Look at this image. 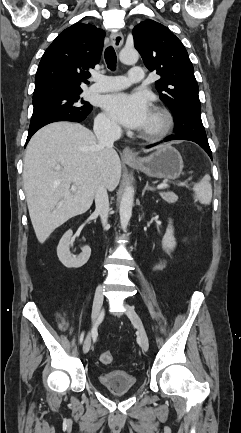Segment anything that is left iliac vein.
<instances>
[{
  "label": "left iliac vein",
  "instance_id": "left-iliac-vein-1",
  "mask_svg": "<svg viewBox=\"0 0 241 433\" xmlns=\"http://www.w3.org/2000/svg\"><path fill=\"white\" fill-rule=\"evenodd\" d=\"M125 307H126V315L129 317V319L132 321V323L135 325V327L138 330L140 340H141V347L145 352H147L149 350V339H148L147 332L144 328L143 322L132 306L126 304Z\"/></svg>",
  "mask_w": 241,
  "mask_h": 433
}]
</instances>
